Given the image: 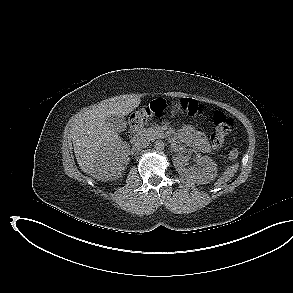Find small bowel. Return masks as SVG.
Here are the masks:
<instances>
[{"instance_id": "obj_1", "label": "small bowel", "mask_w": 293, "mask_h": 293, "mask_svg": "<svg viewBox=\"0 0 293 293\" xmlns=\"http://www.w3.org/2000/svg\"><path fill=\"white\" fill-rule=\"evenodd\" d=\"M178 138L201 152H208L210 149L206 136L190 125L182 127L178 134Z\"/></svg>"}]
</instances>
